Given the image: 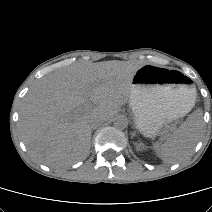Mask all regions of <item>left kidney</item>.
<instances>
[{"instance_id":"1","label":"left kidney","mask_w":212,"mask_h":212,"mask_svg":"<svg viewBox=\"0 0 212 212\" xmlns=\"http://www.w3.org/2000/svg\"><path fill=\"white\" fill-rule=\"evenodd\" d=\"M139 148H143V145H138Z\"/></svg>"}]
</instances>
